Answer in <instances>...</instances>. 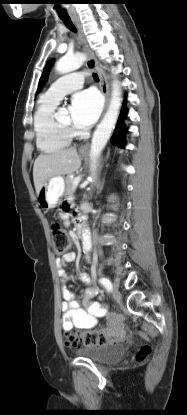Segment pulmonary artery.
I'll use <instances>...</instances> for the list:
<instances>
[{"mask_svg":"<svg viewBox=\"0 0 187 415\" xmlns=\"http://www.w3.org/2000/svg\"><path fill=\"white\" fill-rule=\"evenodd\" d=\"M83 82L84 74L81 72H75L62 76L51 84L45 95L51 100L59 101L64 95L80 89Z\"/></svg>","mask_w":187,"mask_h":415,"instance_id":"obj_1","label":"pulmonary artery"}]
</instances>
